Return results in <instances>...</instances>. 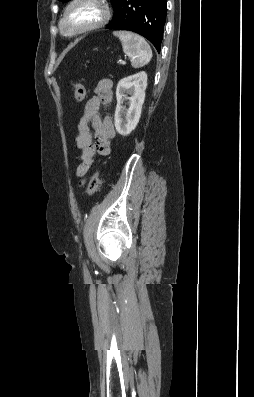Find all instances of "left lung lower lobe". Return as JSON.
Segmentation results:
<instances>
[{"label": "left lung lower lobe", "mask_w": 254, "mask_h": 397, "mask_svg": "<svg viewBox=\"0 0 254 397\" xmlns=\"http://www.w3.org/2000/svg\"><path fill=\"white\" fill-rule=\"evenodd\" d=\"M108 29H125L147 38L160 52L167 14L166 0H113Z\"/></svg>", "instance_id": "obj_1"}]
</instances>
